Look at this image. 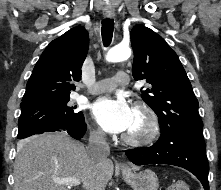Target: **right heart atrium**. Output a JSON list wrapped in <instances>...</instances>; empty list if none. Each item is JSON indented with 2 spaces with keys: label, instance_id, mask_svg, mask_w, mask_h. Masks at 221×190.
<instances>
[{
  "label": "right heart atrium",
  "instance_id": "d8ad5b80",
  "mask_svg": "<svg viewBox=\"0 0 221 190\" xmlns=\"http://www.w3.org/2000/svg\"><path fill=\"white\" fill-rule=\"evenodd\" d=\"M92 135L95 137V138H98V139H101L103 137V132L101 129L99 128H94L92 130Z\"/></svg>",
  "mask_w": 221,
  "mask_h": 190
}]
</instances>
